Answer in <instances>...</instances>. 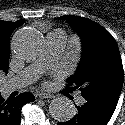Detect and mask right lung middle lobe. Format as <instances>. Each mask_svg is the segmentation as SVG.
<instances>
[{
  "instance_id": "right-lung-middle-lobe-1",
  "label": "right lung middle lobe",
  "mask_w": 125,
  "mask_h": 125,
  "mask_svg": "<svg viewBox=\"0 0 125 125\" xmlns=\"http://www.w3.org/2000/svg\"><path fill=\"white\" fill-rule=\"evenodd\" d=\"M9 57H10V56H9L8 53H6V54L3 53V52L0 53V61H1V60L9 59ZM4 72L6 73V71H4Z\"/></svg>"
}]
</instances>
